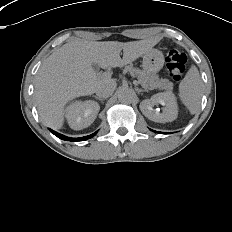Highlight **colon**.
Returning a JSON list of instances; mask_svg holds the SVG:
<instances>
[{
  "label": "colon",
  "mask_w": 232,
  "mask_h": 232,
  "mask_svg": "<svg viewBox=\"0 0 232 232\" xmlns=\"http://www.w3.org/2000/svg\"><path fill=\"white\" fill-rule=\"evenodd\" d=\"M186 56L177 51L170 50L166 56V69L170 77L176 81H179L184 72L186 66Z\"/></svg>",
  "instance_id": "obj_1"
}]
</instances>
